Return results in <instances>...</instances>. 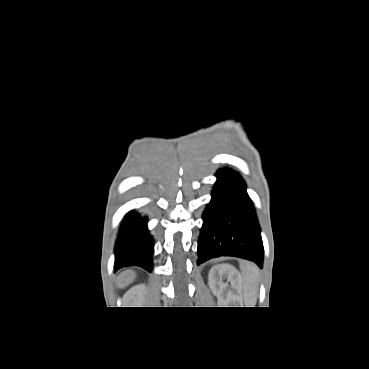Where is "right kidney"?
I'll return each instance as SVG.
<instances>
[{
	"instance_id": "1",
	"label": "right kidney",
	"mask_w": 369,
	"mask_h": 369,
	"mask_svg": "<svg viewBox=\"0 0 369 369\" xmlns=\"http://www.w3.org/2000/svg\"><path fill=\"white\" fill-rule=\"evenodd\" d=\"M146 293L145 284H139L130 288L127 292V299L132 301L136 307H142L143 296Z\"/></svg>"
}]
</instances>
